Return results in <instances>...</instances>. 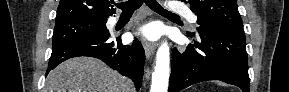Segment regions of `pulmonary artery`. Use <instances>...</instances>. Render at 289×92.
Instances as JSON below:
<instances>
[{
	"mask_svg": "<svg viewBox=\"0 0 289 92\" xmlns=\"http://www.w3.org/2000/svg\"><path fill=\"white\" fill-rule=\"evenodd\" d=\"M170 10L173 13L182 14V15L186 16L191 23H196V21H197V16L193 12H191L187 7H185L183 5L172 4L170 6Z\"/></svg>",
	"mask_w": 289,
	"mask_h": 92,
	"instance_id": "pulmonary-artery-1",
	"label": "pulmonary artery"
}]
</instances>
